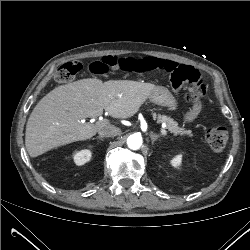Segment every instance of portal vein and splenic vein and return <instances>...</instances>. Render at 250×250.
Listing matches in <instances>:
<instances>
[{
	"label": "portal vein and splenic vein",
	"instance_id": "18ae733b",
	"mask_svg": "<svg viewBox=\"0 0 250 250\" xmlns=\"http://www.w3.org/2000/svg\"><path fill=\"white\" fill-rule=\"evenodd\" d=\"M99 123H101V124H107L108 122H107V120H102ZM161 133L163 135H167V131L165 129H161Z\"/></svg>",
	"mask_w": 250,
	"mask_h": 250
}]
</instances>
